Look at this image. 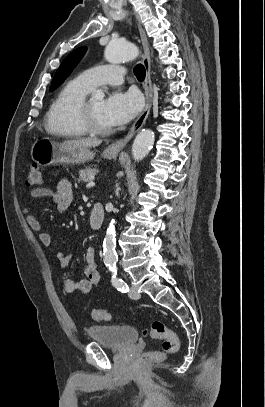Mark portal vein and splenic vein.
I'll use <instances>...</instances> for the list:
<instances>
[{
  "instance_id": "1",
  "label": "portal vein and splenic vein",
  "mask_w": 265,
  "mask_h": 407,
  "mask_svg": "<svg viewBox=\"0 0 265 407\" xmlns=\"http://www.w3.org/2000/svg\"><path fill=\"white\" fill-rule=\"evenodd\" d=\"M86 186L87 187H93V186H95V183L93 181H90V182L87 183Z\"/></svg>"
}]
</instances>
